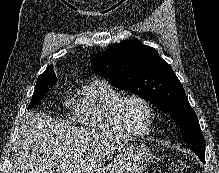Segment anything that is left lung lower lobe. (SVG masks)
<instances>
[{
  "label": "left lung lower lobe",
  "instance_id": "left-lung-lower-lobe-1",
  "mask_svg": "<svg viewBox=\"0 0 219 173\" xmlns=\"http://www.w3.org/2000/svg\"><path fill=\"white\" fill-rule=\"evenodd\" d=\"M197 154V153H196ZM198 155V157L200 158V160L202 161V162H205V155H203V154H197Z\"/></svg>",
  "mask_w": 219,
  "mask_h": 173
}]
</instances>
